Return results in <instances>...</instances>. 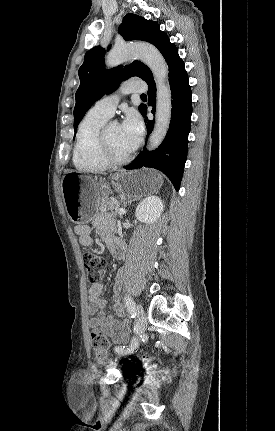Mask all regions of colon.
<instances>
[{
    "instance_id": "obj_1",
    "label": "colon",
    "mask_w": 275,
    "mask_h": 431,
    "mask_svg": "<svg viewBox=\"0 0 275 431\" xmlns=\"http://www.w3.org/2000/svg\"><path fill=\"white\" fill-rule=\"evenodd\" d=\"M83 264L87 273L88 280L96 284L103 275L105 268V259L97 252H86L83 255ZM90 342L93 352L99 362H107V351L109 347L108 339L105 333L99 328H92L90 331ZM148 360V357H144Z\"/></svg>"
}]
</instances>
